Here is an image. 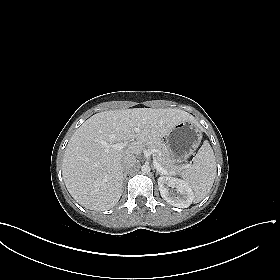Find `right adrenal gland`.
Segmentation results:
<instances>
[{"label":"right adrenal gland","instance_id":"right-adrenal-gland-1","mask_svg":"<svg viewBox=\"0 0 280 280\" xmlns=\"http://www.w3.org/2000/svg\"><path fill=\"white\" fill-rule=\"evenodd\" d=\"M128 171L124 173L123 181L127 179Z\"/></svg>","mask_w":280,"mask_h":280}]
</instances>
